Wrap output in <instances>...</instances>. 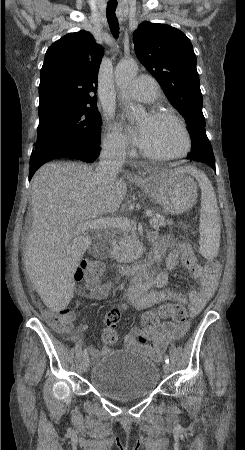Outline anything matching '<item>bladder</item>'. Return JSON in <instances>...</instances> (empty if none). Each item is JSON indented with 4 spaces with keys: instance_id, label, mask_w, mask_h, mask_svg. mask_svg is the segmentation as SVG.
<instances>
[{
    "instance_id": "bladder-1",
    "label": "bladder",
    "mask_w": 245,
    "mask_h": 450,
    "mask_svg": "<svg viewBox=\"0 0 245 450\" xmlns=\"http://www.w3.org/2000/svg\"><path fill=\"white\" fill-rule=\"evenodd\" d=\"M160 377V368L146 355L123 348L94 362L89 383L107 398L126 401L153 392Z\"/></svg>"
}]
</instances>
